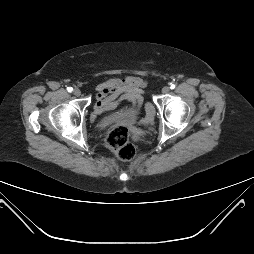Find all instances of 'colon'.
Instances as JSON below:
<instances>
[{
	"mask_svg": "<svg viewBox=\"0 0 254 254\" xmlns=\"http://www.w3.org/2000/svg\"><path fill=\"white\" fill-rule=\"evenodd\" d=\"M106 146L121 161H130L135 156V147L130 142V131L125 125L111 129L105 140Z\"/></svg>",
	"mask_w": 254,
	"mask_h": 254,
	"instance_id": "obj_1",
	"label": "colon"
}]
</instances>
